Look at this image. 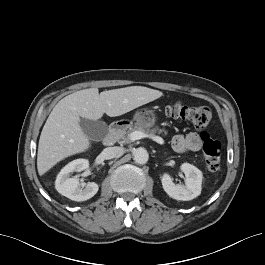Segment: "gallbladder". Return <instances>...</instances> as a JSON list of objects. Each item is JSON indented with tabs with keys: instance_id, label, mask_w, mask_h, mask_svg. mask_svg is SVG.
<instances>
[{
	"instance_id": "obj_1",
	"label": "gallbladder",
	"mask_w": 265,
	"mask_h": 265,
	"mask_svg": "<svg viewBox=\"0 0 265 265\" xmlns=\"http://www.w3.org/2000/svg\"><path fill=\"white\" fill-rule=\"evenodd\" d=\"M80 126L86 136L91 140H102L108 132L107 124L99 120L93 121L82 118L80 120Z\"/></svg>"
}]
</instances>
